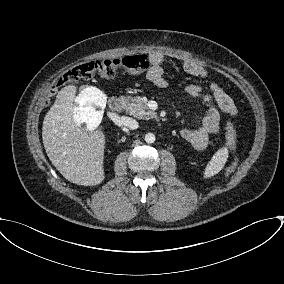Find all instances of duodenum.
<instances>
[{"mask_svg": "<svg viewBox=\"0 0 284 284\" xmlns=\"http://www.w3.org/2000/svg\"><path fill=\"white\" fill-rule=\"evenodd\" d=\"M109 108L111 111L113 112H120L123 108V104L121 102V100L117 97H112L109 100Z\"/></svg>", "mask_w": 284, "mask_h": 284, "instance_id": "obj_1", "label": "duodenum"}]
</instances>
